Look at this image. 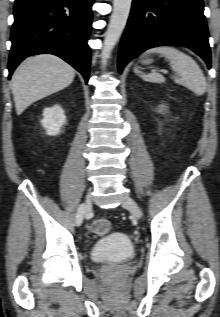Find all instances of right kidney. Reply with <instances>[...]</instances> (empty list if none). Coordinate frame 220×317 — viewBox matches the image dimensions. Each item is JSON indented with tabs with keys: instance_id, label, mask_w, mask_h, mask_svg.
I'll return each instance as SVG.
<instances>
[{
	"instance_id": "ca27d5eb",
	"label": "right kidney",
	"mask_w": 220,
	"mask_h": 317,
	"mask_svg": "<svg viewBox=\"0 0 220 317\" xmlns=\"http://www.w3.org/2000/svg\"><path fill=\"white\" fill-rule=\"evenodd\" d=\"M65 121L66 116L64 110L59 105L44 109L41 124L48 135L55 136L59 134L60 128Z\"/></svg>"
}]
</instances>
